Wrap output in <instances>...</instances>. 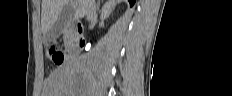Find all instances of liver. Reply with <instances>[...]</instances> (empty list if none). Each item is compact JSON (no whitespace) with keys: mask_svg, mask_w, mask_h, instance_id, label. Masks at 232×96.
<instances>
[{"mask_svg":"<svg viewBox=\"0 0 232 96\" xmlns=\"http://www.w3.org/2000/svg\"><path fill=\"white\" fill-rule=\"evenodd\" d=\"M74 1L76 2L74 18L78 20L86 15L90 0ZM68 3L69 0H42L41 30L44 34L51 29L60 12Z\"/></svg>","mask_w":232,"mask_h":96,"instance_id":"liver-1","label":"liver"}]
</instances>
